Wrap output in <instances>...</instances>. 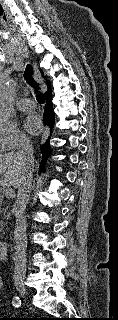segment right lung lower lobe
<instances>
[{"instance_id": "1", "label": "right lung lower lobe", "mask_w": 118, "mask_h": 320, "mask_svg": "<svg viewBox=\"0 0 118 320\" xmlns=\"http://www.w3.org/2000/svg\"><path fill=\"white\" fill-rule=\"evenodd\" d=\"M45 99H46V105H45L44 123L48 125L50 129H52V127L54 126L55 115H54V110L52 108V97L50 92L45 94ZM49 141H50V138L40 147L42 150V160L40 163L41 169L45 166L46 160L52 152Z\"/></svg>"}]
</instances>
